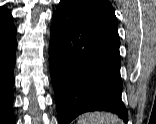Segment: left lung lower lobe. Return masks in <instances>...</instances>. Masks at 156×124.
<instances>
[{"instance_id":"1","label":"left lung lower lobe","mask_w":156,"mask_h":124,"mask_svg":"<svg viewBox=\"0 0 156 124\" xmlns=\"http://www.w3.org/2000/svg\"><path fill=\"white\" fill-rule=\"evenodd\" d=\"M117 29L61 0L52 17L50 74L59 124L90 111H108L127 122L121 100Z\"/></svg>"}]
</instances>
